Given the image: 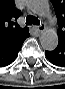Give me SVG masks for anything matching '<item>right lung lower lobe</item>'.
Listing matches in <instances>:
<instances>
[{
  "label": "right lung lower lobe",
  "instance_id": "right-lung-lower-lobe-1",
  "mask_svg": "<svg viewBox=\"0 0 65 89\" xmlns=\"http://www.w3.org/2000/svg\"><path fill=\"white\" fill-rule=\"evenodd\" d=\"M29 35L11 43L0 44V67L7 66L16 59L24 40Z\"/></svg>",
  "mask_w": 65,
  "mask_h": 89
}]
</instances>
